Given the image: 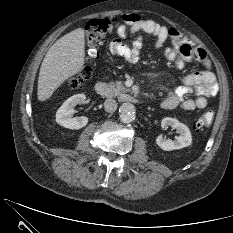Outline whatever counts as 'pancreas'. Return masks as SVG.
Listing matches in <instances>:
<instances>
[{"mask_svg":"<svg viewBox=\"0 0 233 233\" xmlns=\"http://www.w3.org/2000/svg\"><path fill=\"white\" fill-rule=\"evenodd\" d=\"M130 90L121 82V81H116V82H110L108 84V96L113 97V96H120L123 93L129 92Z\"/></svg>","mask_w":233,"mask_h":233,"instance_id":"pancreas-1","label":"pancreas"}]
</instances>
